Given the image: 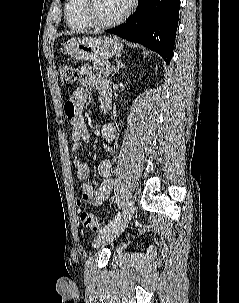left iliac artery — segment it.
Returning a JSON list of instances; mask_svg holds the SVG:
<instances>
[{"label":"left iliac artery","mask_w":239,"mask_h":303,"mask_svg":"<svg viewBox=\"0 0 239 303\" xmlns=\"http://www.w3.org/2000/svg\"><path fill=\"white\" fill-rule=\"evenodd\" d=\"M121 218V213L118 212L116 214V216L114 217V219L112 221H110L107 225H105L104 227H102L98 232L102 233L107 231L110 227H112L119 219Z\"/></svg>","instance_id":"obj_1"}]
</instances>
